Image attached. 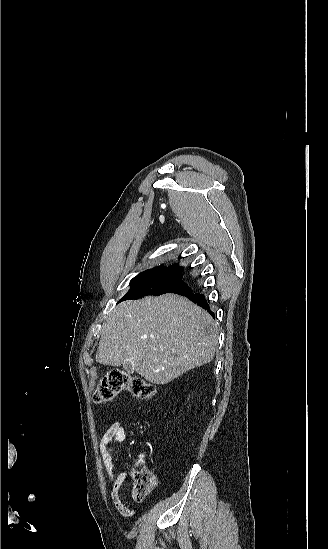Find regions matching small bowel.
<instances>
[{
    "instance_id": "1",
    "label": "small bowel",
    "mask_w": 328,
    "mask_h": 549,
    "mask_svg": "<svg viewBox=\"0 0 328 549\" xmlns=\"http://www.w3.org/2000/svg\"><path fill=\"white\" fill-rule=\"evenodd\" d=\"M127 436V429L121 422H113L104 432L99 443V451L105 471L112 482L111 499L115 509L123 516H130L131 510L124 505L120 498V490L124 484L127 473L120 472L118 476L113 478V451L114 447L120 444ZM148 456L140 454L137 457V464H146ZM153 487L156 485V480L153 477Z\"/></svg>"
}]
</instances>
